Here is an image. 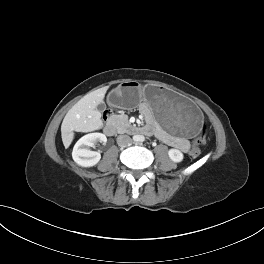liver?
<instances>
[{"instance_id": "6515ba94", "label": "liver", "mask_w": 264, "mask_h": 264, "mask_svg": "<svg viewBox=\"0 0 264 264\" xmlns=\"http://www.w3.org/2000/svg\"><path fill=\"white\" fill-rule=\"evenodd\" d=\"M107 87L88 93L66 114L61 125V136L65 148L73 141L76 132H91L102 127L101 113L97 106L103 102Z\"/></svg>"}]
</instances>
